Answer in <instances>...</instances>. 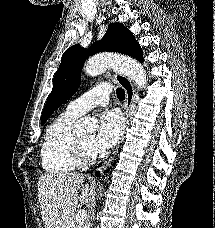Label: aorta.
Segmentation results:
<instances>
[{"label": "aorta", "instance_id": "762f6f07", "mask_svg": "<svg viewBox=\"0 0 215 228\" xmlns=\"http://www.w3.org/2000/svg\"><path fill=\"white\" fill-rule=\"evenodd\" d=\"M114 66H119L123 70L126 76H129L136 86L142 90L146 88L147 78L144 72L143 66L131 60V58H118V56H113V54H99L96 58H91L88 62L84 64L85 74L88 76H97L104 72L106 68H114ZM80 132H86V130H93L89 124V120H81L77 126H75ZM103 190V188H102ZM103 194L99 192V198H102Z\"/></svg>", "mask_w": 215, "mask_h": 228}]
</instances>
